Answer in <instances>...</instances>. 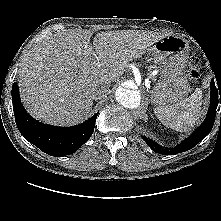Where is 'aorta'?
<instances>
[{
	"label": "aorta",
	"mask_w": 221,
	"mask_h": 221,
	"mask_svg": "<svg viewBox=\"0 0 221 221\" xmlns=\"http://www.w3.org/2000/svg\"><path fill=\"white\" fill-rule=\"evenodd\" d=\"M116 100L119 104L126 108H137L140 105V92L137 90H130L119 87L115 93Z\"/></svg>",
	"instance_id": "762f6f07"
}]
</instances>
